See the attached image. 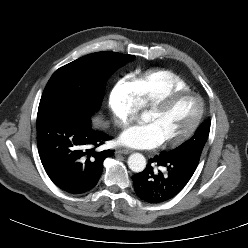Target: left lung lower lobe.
I'll return each mask as SVG.
<instances>
[{
	"label": "left lung lower lobe",
	"mask_w": 248,
	"mask_h": 248,
	"mask_svg": "<svg viewBox=\"0 0 248 248\" xmlns=\"http://www.w3.org/2000/svg\"><path fill=\"white\" fill-rule=\"evenodd\" d=\"M200 157L162 153L150 159L145 170L132 176L138 197L148 203H161L175 197L188 183ZM163 167L165 172L156 170Z\"/></svg>",
	"instance_id": "0a47b994"
}]
</instances>
